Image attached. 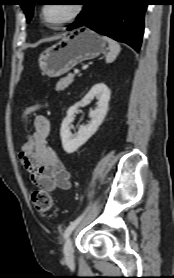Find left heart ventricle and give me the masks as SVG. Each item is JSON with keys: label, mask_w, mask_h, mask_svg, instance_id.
Here are the masks:
<instances>
[{"label": "left heart ventricle", "mask_w": 174, "mask_h": 278, "mask_svg": "<svg viewBox=\"0 0 174 278\" xmlns=\"http://www.w3.org/2000/svg\"><path fill=\"white\" fill-rule=\"evenodd\" d=\"M73 11V4H48L45 5L43 14L49 24H57L66 19Z\"/></svg>", "instance_id": "1"}]
</instances>
